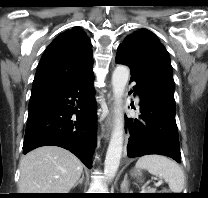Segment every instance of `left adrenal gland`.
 I'll return each instance as SVG.
<instances>
[{"mask_svg":"<svg viewBox=\"0 0 208 198\" xmlns=\"http://www.w3.org/2000/svg\"><path fill=\"white\" fill-rule=\"evenodd\" d=\"M127 176L128 175L126 173L125 176H124V179H123V181L121 183V192L122 193H129L130 183H129L128 179H127Z\"/></svg>","mask_w":208,"mask_h":198,"instance_id":"obj_1","label":"left adrenal gland"}]
</instances>
